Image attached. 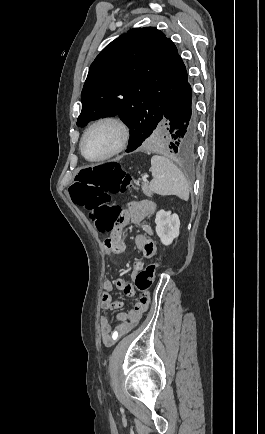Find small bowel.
Segmentation results:
<instances>
[{"label":"small bowel","instance_id":"small-bowel-1","mask_svg":"<svg viewBox=\"0 0 265 434\" xmlns=\"http://www.w3.org/2000/svg\"><path fill=\"white\" fill-rule=\"evenodd\" d=\"M156 211V204L150 200L131 201L128 202L122 216L109 237L103 243V248L106 255H119L126 247L123 238V228L129 223H133L141 227L144 231L135 237V245L141 252L144 259H151L156 253V246L151 236L154 234V229L149 223V219ZM145 266L143 260L135 262L134 271L131 275V280H136L138 271ZM103 291L101 294V308L105 311H114L123 306V302L116 300L112 296V291L116 287L119 291L127 296H134L133 287L122 277H117L112 282L105 279L102 284ZM148 292L141 298L140 308L136 305L127 312H119L115 315V322L112 323L107 315H101L99 318V330L101 342L104 346H112L119 338L128 333L140 321L144 311L149 307Z\"/></svg>","mask_w":265,"mask_h":434}]
</instances>
